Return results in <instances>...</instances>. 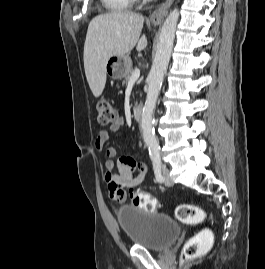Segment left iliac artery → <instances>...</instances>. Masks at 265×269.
<instances>
[{
  "label": "left iliac artery",
  "instance_id": "left-iliac-artery-1",
  "mask_svg": "<svg viewBox=\"0 0 265 269\" xmlns=\"http://www.w3.org/2000/svg\"><path fill=\"white\" fill-rule=\"evenodd\" d=\"M152 163H153V170H154L156 180L162 183L164 181V178L161 173V167H162L161 158L159 156L153 157Z\"/></svg>",
  "mask_w": 265,
  "mask_h": 269
}]
</instances>
